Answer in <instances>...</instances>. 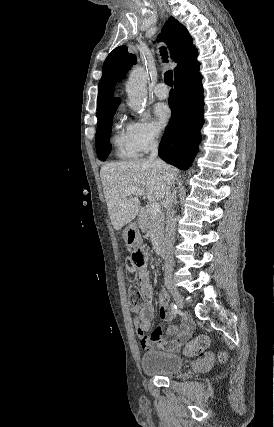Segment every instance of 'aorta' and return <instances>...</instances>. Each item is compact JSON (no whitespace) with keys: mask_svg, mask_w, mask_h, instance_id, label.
I'll return each mask as SVG.
<instances>
[{"mask_svg":"<svg viewBox=\"0 0 274 427\" xmlns=\"http://www.w3.org/2000/svg\"><path fill=\"white\" fill-rule=\"evenodd\" d=\"M147 73L141 66H137L129 75L126 83V92L129 98V106L141 113L147 99Z\"/></svg>","mask_w":274,"mask_h":427,"instance_id":"1","label":"aorta"}]
</instances>
